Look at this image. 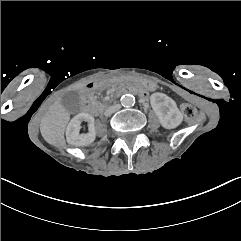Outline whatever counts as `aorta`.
Here are the masks:
<instances>
[{
	"label": "aorta",
	"instance_id": "aorta-1",
	"mask_svg": "<svg viewBox=\"0 0 241 241\" xmlns=\"http://www.w3.org/2000/svg\"><path fill=\"white\" fill-rule=\"evenodd\" d=\"M135 97L131 94H125L121 97V104L125 107L134 105Z\"/></svg>",
	"mask_w": 241,
	"mask_h": 241
}]
</instances>
